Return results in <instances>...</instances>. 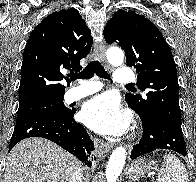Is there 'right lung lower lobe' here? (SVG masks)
<instances>
[{
    "label": "right lung lower lobe",
    "mask_w": 196,
    "mask_h": 182,
    "mask_svg": "<svg viewBox=\"0 0 196 182\" xmlns=\"http://www.w3.org/2000/svg\"><path fill=\"white\" fill-rule=\"evenodd\" d=\"M76 110L64 116L39 115L17 122L10 140L9 150L19 141L29 137L49 139L76 156L86 165L94 143L84 127L74 120Z\"/></svg>",
    "instance_id": "1"
}]
</instances>
